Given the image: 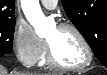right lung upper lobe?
<instances>
[{
    "instance_id": "obj_1",
    "label": "right lung upper lobe",
    "mask_w": 107,
    "mask_h": 75,
    "mask_svg": "<svg viewBox=\"0 0 107 75\" xmlns=\"http://www.w3.org/2000/svg\"><path fill=\"white\" fill-rule=\"evenodd\" d=\"M15 19L14 0H0V20Z\"/></svg>"
}]
</instances>
